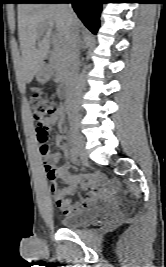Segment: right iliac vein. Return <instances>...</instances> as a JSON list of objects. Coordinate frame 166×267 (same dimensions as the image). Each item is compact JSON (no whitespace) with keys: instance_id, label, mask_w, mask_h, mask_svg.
Wrapping results in <instances>:
<instances>
[{"instance_id":"right-iliac-vein-1","label":"right iliac vein","mask_w":166,"mask_h":267,"mask_svg":"<svg viewBox=\"0 0 166 267\" xmlns=\"http://www.w3.org/2000/svg\"><path fill=\"white\" fill-rule=\"evenodd\" d=\"M72 142L78 152V155L81 157L83 162H87V153L84 147V141L82 137L73 130L72 132Z\"/></svg>"}]
</instances>
